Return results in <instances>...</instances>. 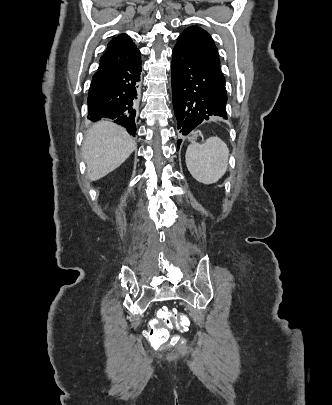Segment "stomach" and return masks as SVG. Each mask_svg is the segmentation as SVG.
<instances>
[{
  "label": "stomach",
  "instance_id": "stomach-1",
  "mask_svg": "<svg viewBox=\"0 0 332 405\" xmlns=\"http://www.w3.org/2000/svg\"><path fill=\"white\" fill-rule=\"evenodd\" d=\"M198 136L203 137L202 133L200 131L196 132L192 138H190V141L194 142L195 139H197Z\"/></svg>",
  "mask_w": 332,
  "mask_h": 405
}]
</instances>
